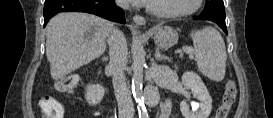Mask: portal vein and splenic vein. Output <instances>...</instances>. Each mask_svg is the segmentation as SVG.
<instances>
[{
  "instance_id": "obj_1",
  "label": "portal vein and splenic vein",
  "mask_w": 273,
  "mask_h": 118,
  "mask_svg": "<svg viewBox=\"0 0 273 118\" xmlns=\"http://www.w3.org/2000/svg\"><path fill=\"white\" fill-rule=\"evenodd\" d=\"M183 50H184L185 52H187V53H189V52L191 51L190 48H183Z\"/></svg>"
}]
</instances>
